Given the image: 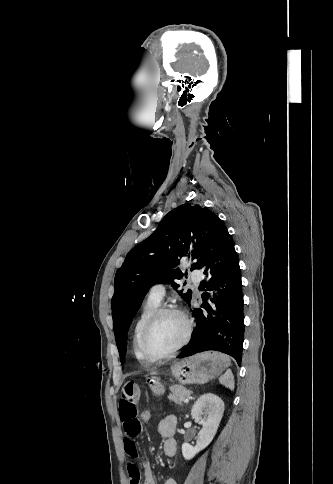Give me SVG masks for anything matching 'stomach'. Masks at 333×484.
Here are the masks:
<instances>
[{
    "label": "stomach",
    "instance_id": "1",
    "mask_svg": "<svg viewBox=\"0 0 333 484\" xmlns=\"http://www.w3.org/2000/svg\"><path fill=\"white\" fill-rule=\"evenodd\" d=\"M229 364V358L222 353L203 352L175 362L170 371L181 385L202 384L221 375ZM158 375L157 372L148 374V385L156 395L164 391Z\"/></svg>",
    "mask_w": 333,
    "mask_h": 484
}]
</instances>
